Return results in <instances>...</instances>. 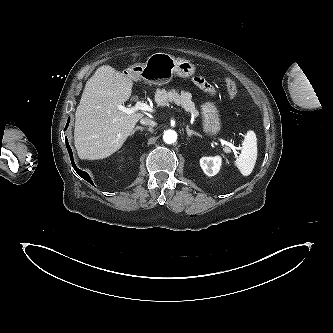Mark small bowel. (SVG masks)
Instances as JSON below:
<instances>
[{
  "instance_id": "c3829d8e",
  "label": "small bowel",
  "mask_w": 333,
  "mask_h": 333,
  "mask_svg": "<svg viewBox=\"0 0 333 333\" xmlns=\"http://www.w3.org/2000/svg\"><path fill=\"white\" fill-rule=\"evenodd\" d=\"M194 82L204 92L209 93L210 95L215 94L214 88L203 77H195Z\"/></svg>"
}]
</instances>
